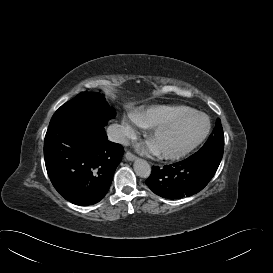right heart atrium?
Here are the masks:
<instances>
[{
	"mask_svg": "<svg viewBox=\"0 0 273 273\" xmlns=\"http://www.w3.org/2000/svg\"><path fill=\"white\" fill-rule=\"evenodd\" d=\"M121 127H122L124 135L126 136H133L136 131L134 124L127 119H123L121 121Z\"/></svg>",
	"mask_w": 273,
	"mask_h": 273,
	"instance_id": "d8ad5b80",
	"label": "right heart atrium"
}]
</instances>
